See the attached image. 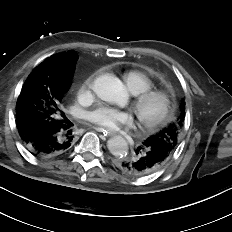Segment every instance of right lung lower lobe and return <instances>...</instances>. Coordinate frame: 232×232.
I'll use <instances>...</instances> for the list:
<instances>
[{
  "label": "right lung lower lobe",
  "mask_w": 232,
  "mask_h": 232,
  "mask_svg": "<svg viewBox=\"0 0 232 232\" xmlns=\"http://www.w3.org/2000/svg\"><path fill=\"white\" fill-rule=\"evenodd\" d=\"M36 109L35 105H32ZM31 117H16L21 140L28 151L38 157H54L70 149L74 141L72 124L65 120L53 128L29 127Z\"/></svg>",
  "instance_id": "obj_1"
}]
</instances>
